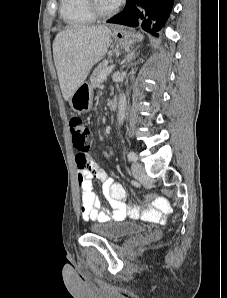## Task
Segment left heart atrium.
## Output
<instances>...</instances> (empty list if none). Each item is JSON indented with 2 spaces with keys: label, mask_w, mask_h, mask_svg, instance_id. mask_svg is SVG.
Returning a JSON list of instances; mask_svg holds the SVG:
<instances>
[{
  "label": "left heart atrium",
  "mask_w": 227,
  "mask_h": 298,
  "mask_svg": "<svg viewBox=\"0 0 227 298\" xmlns=\"http://www.w3.org/2000/svg\"><path fill=\"white\" fill-rule=\"evenodd\" d=\"M121 1L122 0H108L109 4L113 7L119 5Z\"/></svg>",
  "instance_id": "left-heart-atrium-1"
}]
</instances>
